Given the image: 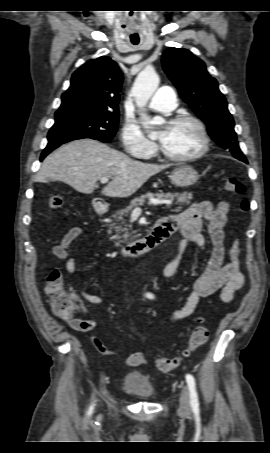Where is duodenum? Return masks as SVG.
I'll use <instances>...</instances> for the list:
<instances>
[{"label":"duodenum","instance_id":"duodenum-1","mask_svg":"<svg viewBox=\"0 0 270 453\" xmlns=\"http://www.w3.org/2000/svg\"><path fill=\"white\" fill-rule=\"evenodd\" d=\"M97 214L108 213V208L99 206L96 208ZM175 232V228L169 225L166 221H159L156 226L142 239L127 245L123 251L125 254L137 257L154 249L161 243L167 241Z\"/></svg>","mask_w":270,"mask_h":453}]
</instances>
